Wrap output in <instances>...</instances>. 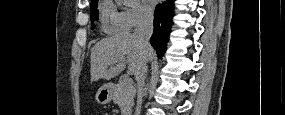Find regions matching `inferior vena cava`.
Returning <instances> with one entry per match:
<instances>
[{
    "instance_id": "obj_1",
    "label": "inferior vena cava",
    "mask_w": 285,
    "mask_h": 115,
    "mask_svg": "<svg viewBox=\"0 0 285 115\" xmlns=\"http://www.w3.org/2000/svg\"><path fill=\"white\" fill-rule=\"evenodd\" d=\"M153 33V15L152 14H144L135 29L133 36L140 43L143 53V58L140 63L138 70L135 73V79L137 81L138 90L134 91L135 97L134 100L136 104H138L137 109L133 112V115L142 114V110L145 107V102H143V97L145 94L144 86H145V78L147 72V51L150 48V37Z\"/></svg>"
}]
</instances>
